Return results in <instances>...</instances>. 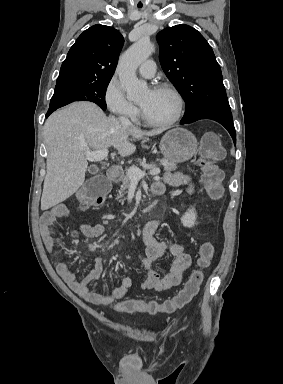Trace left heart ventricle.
Masks as SVG:
<instances>
[{
  "instance_id": "1",
  "label": "left heart ventricle",
  "mask_w": 283,
  "mask_h": 384,
  "mask_svg": "<svg viewBox=\"0 0 283 384\" xmlns=\"http://www.w3.org/2000/svg\"><path fill=\"white\" fill-rule=\"evenodd\" d=\"M143 114L152 121L165 122L176 112L174 97L164 90L148 89L138 100Z\"/></svg>"
}]
</instances>
